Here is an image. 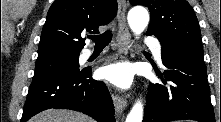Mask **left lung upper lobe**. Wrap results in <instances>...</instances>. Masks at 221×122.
Listing matches in <instances>:
<instances>
[{"label": "left lung upper lobe", "instance_id": "1", "mask_svg": "<svg viewBox=\"0 0 221 122\" xmlns=\"http://www.w3.org/2000/svg\"><path fill=\"white\" fill-rule=\"evenodd\" d=\"M130 3L149 8L151 20L147 32L155 35L163 47L203 55L199 23L186 0H130Z\"/></svg>", "mask_w": 221, "mask_h": 122}]
</instances>
